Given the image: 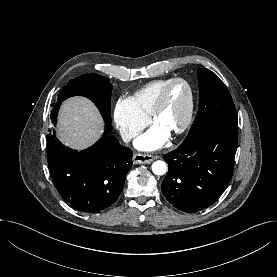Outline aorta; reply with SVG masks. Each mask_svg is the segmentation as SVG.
<instances>
[{"instance_id":"1","label":"aorta","mask_w":277,"mask_h":277,"mask_svg":"<svg viewBox=\"0 0 277 277\" xmlns=\"http://www.w3.org/2000/svg\"><path fill=\"white\" fill-rule=\"evenodd\" d=\"M152 171L155 175H164L167 171V165L164 161H155L152 165Z\"/></svg>"}]
</instances>
